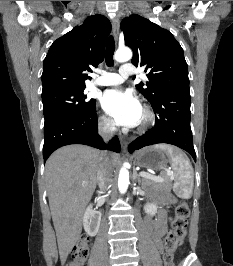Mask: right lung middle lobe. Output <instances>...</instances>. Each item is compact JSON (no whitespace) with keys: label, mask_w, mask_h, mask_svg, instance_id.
I'll return each instance as SVG.
<instances>
[{"label":"right lung middle lobe","mask_w":233,"mask_h":266,"mask_svg":"<svg viewBox=\"0 0 233 266\" xmlns=\"http://www.w3.org/2000/svg\"><path fill=\"white\" fill-rule=\"evenodd\" d=\"M84 89H63L43 94L44 125L61 117L86 113L94 108L96 100H88Z\"/></svg>","instance_id":"right-lung-middle-lobe-1"}]
</instances>
